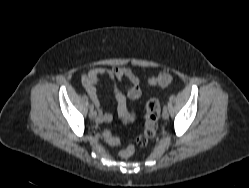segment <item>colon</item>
<instances>
[{"mask_svg":"<svg viewBox=\"0 0 249 188\" xmlns=\"http://www.w3.org/2000/svg\"><path fill=\"white\" fill-rule=\"evenodd\" d=\"M152 84L167 86L172 82V76L168 72L160 73L150 79ZM159 102L155 98H149L145 103V124L142 134H140L136 143L143 147L147 145L150 138L154 137L158 128ZM104 138L110 145H118L120 139L114 136L109 130H104ZM134 153V148L128 146L120 152L122 158H129Z\"/></svg>","mask_w":249,"mask_h":188,"instance_id":"1","label":"colon"}]
</instances>
